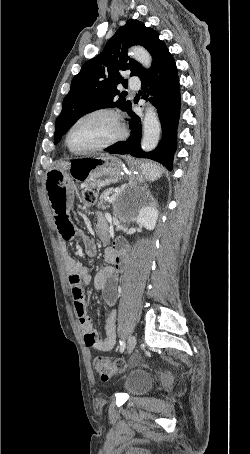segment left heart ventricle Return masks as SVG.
Listing matches in <instances>:
<instances>
[{"mask_svg":"<svg viewBox=\"0 0 250 454\" xmlns=\"http://www.w3.org/2000/svg\"><path fill=\"white\" fill-rule=\"evenodd\" d=\"M116 134L111 117L96 115L79 123L72 131L70 144L76 150L88 149L99 145Z\"/></svg>","mask_w":250,"mask_h":454,"instance_id":"b2bd125f","label":"left heart ventricle"}]
</instances>
